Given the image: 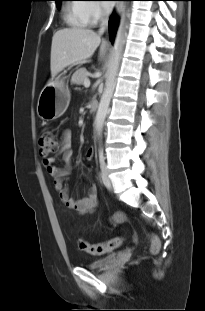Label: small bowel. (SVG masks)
I'll return each instance as SVG.
<instances>
[{"mask_svg":"<svg viewBox=\"0 0 205 311\" xmlns=\"http://www.w3.org/2000/svg\"><path fill=\"white\" fill-rule=\"evenodd\" d=\"M60 154L63 156L65 161V166L63 168H58L55 166V158L48 157L43 159V165L47 172L53 178V186L62 203L69 209L75 210L80 214L91 213L94 211L97 205V195L96 189L92 186L89 190L87 196L75 200L70 197L67 188V176L71 170V160H72V133L69 130L64 131L62 136V145L60 149ZM95 155V150L89 148L86 151V159L92 160Z\"/></svg>","mask_w":205,"mask_h":311,"instance_id":"c3829d8e","label":"small bowel"}]
</instances>
